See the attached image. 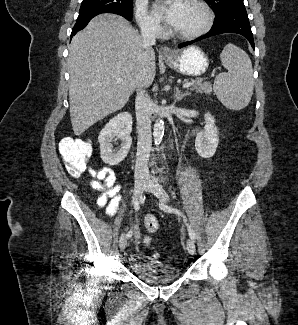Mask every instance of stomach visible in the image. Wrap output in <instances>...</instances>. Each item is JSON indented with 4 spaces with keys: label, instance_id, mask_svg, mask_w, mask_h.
<instances>
[{
    "label": "stomach",
    "instance_id": "stomach-1",
    "mask_svg": "<svg viewBox=\"0 0 298 325\" xmlns=\"http://www.w3.org/2000/svg\"><path fill=\"white\" fill-rule=\"evenodd\" d=\"M163 62L170 66L175 72L186 74V76H201L209 68L210 58L201 46L190 44L181 50H175L173 56L165 58L162 56Z\"/></svg>",
    "mask_w": 298,
    "mask_h": 325
}]
</instances>
